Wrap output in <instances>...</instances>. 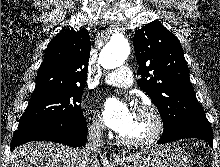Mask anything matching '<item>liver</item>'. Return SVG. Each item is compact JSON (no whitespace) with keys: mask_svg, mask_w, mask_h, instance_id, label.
Segmentation results:
<instances>
[{"mask_svg":"<svg viewBox=\"0 0 220 167\" xmlns=\"http://www.w3.org/2000/svg\"><path fill=\"white\" fill-rule=\"evenodd\" d=\"M10 167H82L80 149L52 142H28L15 148ZM89 167H100L96 159Z\"/></svg>","mask_w":220,"mask_h":167,"instance_id":"6515ba94","label":"liver"}]
</instances>
